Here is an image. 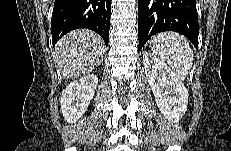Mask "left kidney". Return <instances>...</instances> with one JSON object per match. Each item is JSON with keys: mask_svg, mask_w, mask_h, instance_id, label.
I'll return each instance as SVG.
<instances>
[{"mask_svg": "<svg viewBox=\"0 0 231 151\" xmlns=\"http://www.w3.org/2000/svg\"><path fill=\"white\" fill-rule=\"evenodd\" d=\"M143 64L159 110L168 121L178 123L187 110L188 90L155 55L145 52Z\"/></svg>", "mask_w": 231, "mask_h": 151, "instance_id": "obj_1", "label": "left kidney"}]
</instances>
